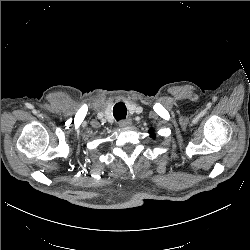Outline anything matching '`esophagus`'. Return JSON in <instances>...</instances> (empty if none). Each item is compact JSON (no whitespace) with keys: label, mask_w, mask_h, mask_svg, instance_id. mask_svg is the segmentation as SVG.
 <instances>
[{"label":"esophagus","mask_w":250,"mask_h":250,"mask_svg":"<svg viewBox=\"0 0 250 250\" xmlns=\"http://www.w3.org/2000/svg\"><path fill=\"white\" fill-rule=\"evenodd\" d=\"M132 124V121L130 119H125V120H121L119 122V126L124 128V127H128Z\"/></svg>","instance_id":"esophagus-1"}]
</instances>
